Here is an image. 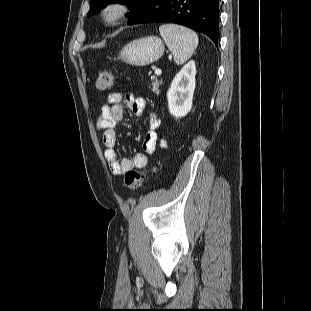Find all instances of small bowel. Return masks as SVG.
<instances>
[{
    "label": "small bowel",
    "mask_w": 311,
    "mask_h": 311,
    "mask_svg": "<svg viewBox=\"0 0 311 311\" xmlns=\"http://www.w3.org/2000/svg\"><path fill=\"white\" fill-rule=\"evenodd\" d=\"M124 106H127L135 115H142L146 109V102L143 98L133 94L113 92L108 95L107 102L101 107L100 113L95 121V129L102 132L104 154L109 169L113 175H122L129 170L143 169L146 167L148 157L144 153L136 154L132 159L119 160L116 146L115 126L124 119ZM148 130L143 141V149L147 154L156 150L158 143L157 129L160 126V119L154 113L147 114ZM161 148H167V141H159Z\"/></svg>",
    "instance_id": "small-bowel-1"
}]
</instances>
